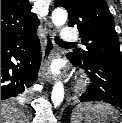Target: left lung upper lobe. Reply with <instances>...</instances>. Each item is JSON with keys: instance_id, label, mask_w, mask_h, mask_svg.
I'll list each match as a JSON object with an SVG mask.
<instances>
[{"instance_id": "obj_1", "label": "left lung upper lobe", "mask_w": 122, "mask_h": 123, "mask_svg": "<svg viewBox=\"0 0 122 123\" xmlns=\"http://www.w3.org/2000/svg\"><path fill=\"white\" fill-rule=\"evenodd\" d=\"M55 7L69 13L70 27L76 26L85 50L70 55L81 63L99 60L122 63L114 19L105 0H55Z\"/></svg>"}]
</instances>
